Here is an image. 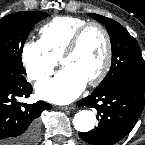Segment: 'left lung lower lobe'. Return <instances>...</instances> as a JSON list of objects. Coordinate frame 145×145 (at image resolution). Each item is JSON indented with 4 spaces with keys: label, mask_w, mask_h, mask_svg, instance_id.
Returning a JSON list of instances; mask_svg holds the SVG:
<instances>
[{
    "label": "left lung lower lobe",
    "mask_w": 145,
    "mask_h": 145,
    "mask_svg": "<svg viewBox=\"0 0 145 145\" xmlns=\"http://www.w3.org/2000/svg\"><path fill=\"white\" fill-rule=\"evenodd\" d=\"M145 84L122 80L77 102L78 106L95 108L98 126L79 136L92 145H113L135 126L144 107Z\"/></svg>",
    "instance_id": "left-lung-lower-lobe-1"
}]
</instances>
